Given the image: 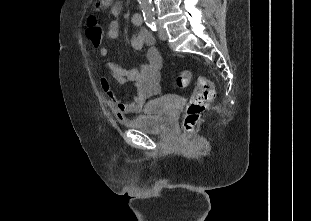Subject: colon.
<instances>
[{"mask_svg":"<svg viewBox=\"0 0 311 221\" xmlns=\"http://www.w3.org/2000/svg\"><path fill=\"white\" fill-rule=\"evenodd\" d=\"M87 38L95 49L102 47L103 28L93 19L87 22ZM190 72L182 71L177 79L176 84L179 87H187L190 84ZM215 95L212 82L205 78H199L194 94L190 98L186 107V115L183 121V128L186 134L183 135L184 141L190 140V133L193 127L199 122L202 113L207 109Z\"/></svg>","mask_w":311,"mask_h":221,"instance_id":"colon-1","label":"colon"}]
</instances>
